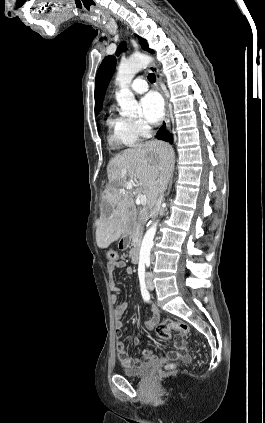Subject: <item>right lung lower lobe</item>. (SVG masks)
Here are the masks:
<instances>
[{"mask_svg": "<svg viewBox=\"0 0 265 423\" xmlns=\"http://www.w3.org/2000/svg\"><path fill=\"white\" fill-rule=\"evenodd\" d=\"M156 138L159 140H163L166 142H169L172 144L173 137L172 135L166 130L165 123H163L162 127L159 129V131L156 134Z\"/></svg>", "mask_w": 265, "mask_h": 423, "instance_id": "1", "label": "right lung lower lobe"}]
</instances>
